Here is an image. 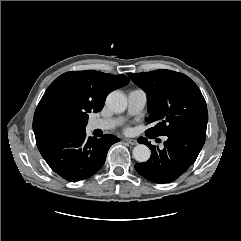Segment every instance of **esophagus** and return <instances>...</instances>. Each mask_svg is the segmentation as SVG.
Returning a JSON list of instances; mask_svg holds the SVG:
<instances>
[{"instance_id":"34e87169","label":"esophagus","mask_w":241,"mask_h":241,"mask_svg":"<svg viewBox=\"0 0 241 241\" xmlns=\"http://www.w3.org/2000/svg\"><path fill=\"white\" fill-rule=\"evenodd\" d=\"M125 142H127L130 145H136L137 141L134 139H124Z\"/></svg>"}]
</instances>
